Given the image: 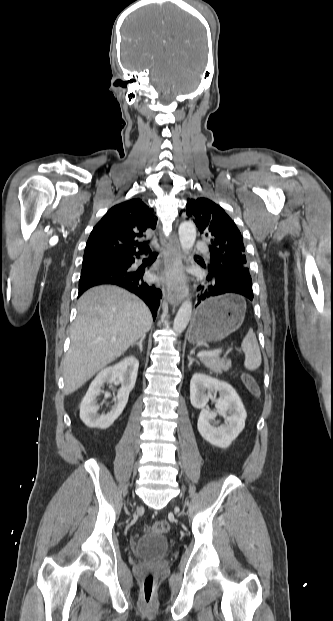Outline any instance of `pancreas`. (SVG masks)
<instances>
[{"instance_id": "cf45deb5", "label": "pancreas", "mask_w": 333, "mask_h": 621, "mask_svg": "<svg viewBox=\"0 0 333 621\" xmlns=\"http://www.w3.org/2000/svg\"><path fill=\"white\" fill-rule=\"evenodd\" d=\"M201 362L215 374L227 371L231 367V360L226 357H203Z\"/></svg>"}]
</instances>
